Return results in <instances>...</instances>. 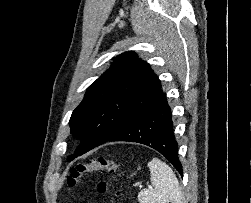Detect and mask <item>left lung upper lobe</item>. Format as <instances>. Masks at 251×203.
I'll return each instance as SVG.
<instances>
[{
    "mask_svg": "<svg viewBox=\"0 0 251 203\" xmlns=\"http://www.w3.org/2000/svg\"><path fill=\"white\" fill-rule=\"evenodd\" d=\"M161 91L160 81L147 62L138 59L133 52L118 56L88 87L84 99L71 115V133L81 139L74 157L111 139Z\"/></svg>",
    "mask_w": 251,
    "mask_h": 203,
    "instance_id": "left-lung-upper-lobe-1",
    "label": "left lung upper lobe"
}]
</instances>
